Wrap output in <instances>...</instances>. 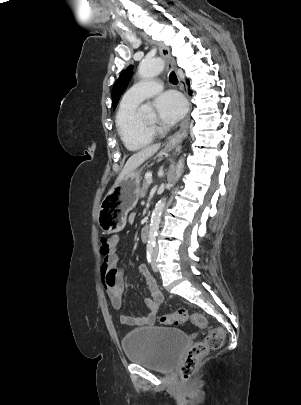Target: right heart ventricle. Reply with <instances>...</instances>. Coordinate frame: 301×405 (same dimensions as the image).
Instances as JSON below:
<instances>
[{
  "mask_svg": "<svg viewBox=\"0 0 301 405\" xmlns=\"http://www.w3.org/2000/svg\"><path fill=\"white\" fill-rule=\"evenodd\" d=\"M137 107L138 104L122 101L115 119L118 135L129 151H138L153 140V135L145 133L138 125Z\"/></svg>",
  "mask_w": 301,
  "mask_h": 405,
  "instance_id": "1",
  "label": "right heart ventricle"
}]
</instances>
